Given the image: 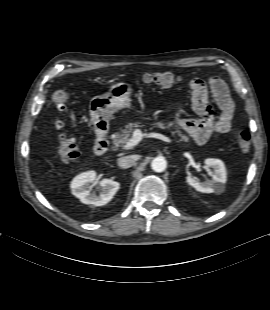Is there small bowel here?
I'll return each mask as SVG.
<instances>
[{
	"label": "small bowel",
	"instance_id": "small-bowel-1",
	"mask_svg": "<svg viewBox=\"0 0 270 310\" xmlns=\"http://www.w3.org/2000/svg\"><path fill=\"white\" fill-rule=\"evenodd\" d=\"M189 85L195 116L181 120L179 122L181 128L199 145L229 132L234 114V101L226 83L221 78L212 77L207 82L194 78ZM209 90L219 109L217 118L213 117L211 109L208 108Z\"/></svg>",
	"mask_w": 270,
	"mask_h": 310
}]
</instances>
